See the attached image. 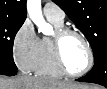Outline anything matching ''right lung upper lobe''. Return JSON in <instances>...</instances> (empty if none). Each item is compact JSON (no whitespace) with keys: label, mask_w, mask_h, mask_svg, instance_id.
<instances>
[{"label":"right lung upper lobe","mask_w":107,"mask_h":89,"mask_svg":"<svg viewBox=\"0 0 107 89\" xmlns=\"http://www.w3.org/2000/svg\"><path fill=\"white\" fill-rule=\"evenodd\" d=\"M26 0H0V17L25 21Z\"/></svg>","instance_id":"right-lung-upper-lobe-1"}]
</instances>
